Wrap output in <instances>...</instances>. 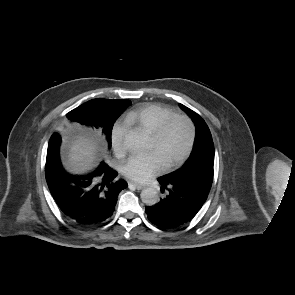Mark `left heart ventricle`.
<instances>
[{
	"instance_id": "obj_1",
	"label": "left heart ventricle",
	"mask_w": 295,
	"mask_h": 295,
	"mask_svg": "<svg viewBox=\"0 0 295 295\" xmlns=\"http://www.w3.org/2000/svg\"><path fill=\"white\" fill-rule=\"evenodd\" d=\"M189 139V130L185 122L175 121L168 128L160 142L151 138L150 150L160 156L164 165L178 158L185 150Z\"/></svg>"
}]
</instances>
